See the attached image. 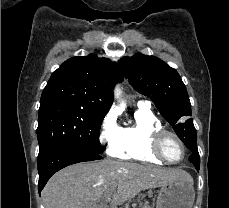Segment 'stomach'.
<instances>
[{
	"instance_id": "1",
	"label": "stomach",
	"mask_w": 229,
	"mask_h": 208,
	"mask_svg": "<svg viewBox=\"0 0 229 208\" xmlns=\"http://www.w3.org/2000/svg\"><path fill=\"white\" fill-rule=\"evenodd\" d=\"M157 194L156 208H192L195 200L193 184L182 180L167 182Z\"/></svg>"
}]
</instances>
